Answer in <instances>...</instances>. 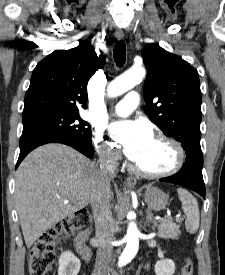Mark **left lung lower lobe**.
Listing matches in <instances>:
<instances>
[{
	"mask_svg": "<svg viewBox=\"0 0 225 275\" xmlns=\"http://www.w3.org/2000/svg\"><path fill=\"white\" fill-rule=\"evenodd\" d=\"M202 167V151L191 150L186 152V160L181 170L175 175L160 179V181L187 187L205 198V185L202 176Z\"/></svg>",
	"mask_w": 225,
	"mask_h": 275,
	"instance_id": "obj_1",
	"label": "left lung lower lobe"
}]
</instances>
